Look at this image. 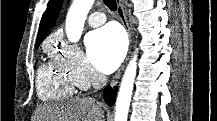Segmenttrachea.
<instances>
[{
    "mask_svg": "<svg viewBox=\"0 0 217 121\" xmlns=\"http://www.w3.org/2000/svg\"><path fill=\"white\" fill-rule=\"evenodd\" d=\"M103 2L111 11H116L117 9L116 0H103Z\"/></svg>",
    "mask_w": 217,
    "mask_h": 121,
    "instance_id": "1",
    "label": "trachea"
}]
</instances>
